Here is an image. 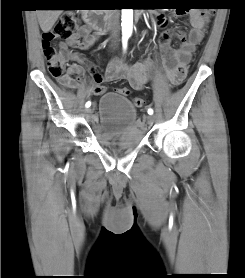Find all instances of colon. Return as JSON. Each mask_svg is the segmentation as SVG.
I'll use <instances>...</instances> for the list:
<instances>
[{
    "instance_id": "1",
    "label": "colon",
    "mask_w": 245,
    "mask_h": 278,
    "mask_svg": "<svg viewBox=\"0 0 245 278\" xmlns=\"http://www.w3.org/2000/svg\"><path fill=\"white\" fill-rule=\"evenodd\" d=\"M206 11H213L212 5H202ZM78 20L72 14H62L59 16L56 24L51 29L44 31L42 35V44L44 54L47 60V67L50 74L63 83H68L64 78V70L70 60L74 58V54L69 51L67 46H57L56 41L68 37L72 31L77 27ZM174 85L180 84V79L173 81ZM116 92L119 95L128 97L130 90L126 87H118ZM132 103L136 107H141L144 104V100L141 97H134Z\"/></svg>"
}]
</instances>
